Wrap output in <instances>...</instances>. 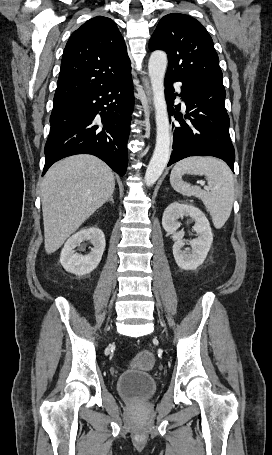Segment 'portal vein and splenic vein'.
I'll return each mask as SVG.
<instances>
[{"label": "portal vein and splenic vein", "mask_w": 272, "mask_h": 455, "mask_svg": "<svg viewBox=\"0 0 272 455\" xmlns=\"http://www.w3.org/2000/svg\"><path fill=\"white\" fill-rule=\"evenodd\" d=\"M199 184L202 185V186H204V188L207 189V187L205 186V183H204L203 181H200Z\"/></svg>", "instance_id": "18ae733b"}]
</instances>
